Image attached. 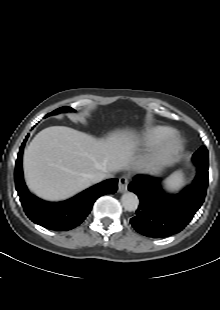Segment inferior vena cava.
I'll return each mask as SVG.
<instances>
[{
    "mask_svg": "<svg viewBox=\"0 0 220 310\" xmlns=\"http://www.w3.org/2000/svg\"><path fill=\"white\" fill-rule=\"evenodd\" d=\"M107 177V173L98 171L96 173L90 174L89 179L92 183H98Z\"/></svg>",
    "mask_w": 220,
    "mask_h": 310,
    "instance_id": "obj_1",
    "label": "inferior vena cava"
}]
</instances>
